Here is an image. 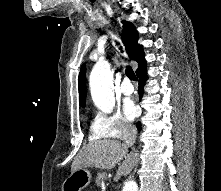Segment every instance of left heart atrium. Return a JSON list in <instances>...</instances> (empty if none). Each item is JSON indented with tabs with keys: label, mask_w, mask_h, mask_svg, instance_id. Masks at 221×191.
Instances as JSON below:
<instances>
[{
	"label": "left heart atrium",
	"mask_w": 221,
	"mask_h": 191,
	"mask_svg": "<svg viewBox=\"0 0 221 191\" xmlns=\"http://www.w3.org/2000/svg\"><path fill=\"white\" fill-rule=\"evenodd\" d=\"M123 111H124L125 116L129 120H132L137 114L136 106L131 100H126L124 102Z\"/></svg>",
	"instance_id": "39dd6f15"
}]
</instances>
